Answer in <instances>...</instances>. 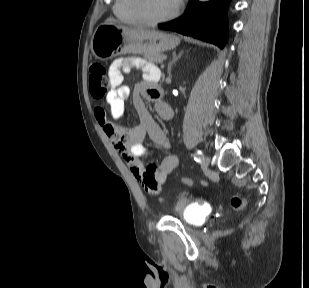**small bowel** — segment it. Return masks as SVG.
<instances>
[{"label": "small bowel", "instance_id": "c3829d8e", "mask_svg": "<svg viewBox=\"0 0 309 288\" xmlns=\"http://www.w3.org/2000/svg\"><path fill=\"white\" fill-rule=\"evenodd\" d=\"M133 68L140 69L145 73V79L137 83L132 94L139 124L133 128L120 127L108 119L102 107L95 108L94 114L114 149L125 159L133 177L140 182L145 191L158 194L162 190L168 175L177 167L178 158L172 153H167L157 164H144L140 160V157L147 153L144 146L146 137L151 138L166 152H169L171 148L166 132L152 118L144 101V98L153 101L155 111L162 119H172L173 109L161 99L162 90L158 85L159 71L156 66L133 56L114 60L109 67L111 89L107 94L106 102L114 119L123 116L125 102L131 91L122 82L124 73Z\"/></svg>", "mask_w": 309, "mask_h": 288}]
</instances>
